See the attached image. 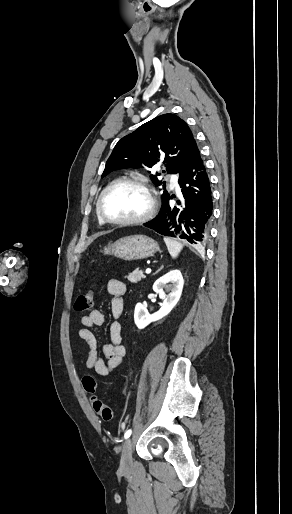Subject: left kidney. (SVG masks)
<instances>
[{
	"instance_id": "1",
	"label": "left kidney",
	"mask_w": 292,
	"mask_h": 514,
	"mask_svg": "<svg viewBox=\"0 0 292 514\" xmlns=\"http://www.w3.org/2000/svg\"><path fill=\"white\" fill-rule=\"evenodd\" d=\"M183 286L184 280L179 270H171V272H168V274L156 280L153 290L158 294L160 300H163L162 306L155 314H149L147 306H144V304H136L134 322L137 328L142 330V328H146L151 322H157V320H161V318L167 316V314L173 310L174 306H176L177 302H179ZM164 290L165 292H169V294H165Z\"/></svg>"
}]
</instances>
